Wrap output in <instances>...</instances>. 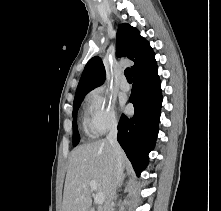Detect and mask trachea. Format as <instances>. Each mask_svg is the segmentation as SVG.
<instances>
[{"label":"trachea","mask_w":221,"mask_h":211,"mask_svg":"<svg viewBox=\"0 0 221 211\" xmlns=\"http://www.w3.org/2000/svg\"><path fill=\"white\" fill-rule=\"evenodd\" d=\"M125 77L127 78L128 82H132V71L130 68L125 69Z\"/></svg>","instance_id":"obj_1"}]
</instances>
